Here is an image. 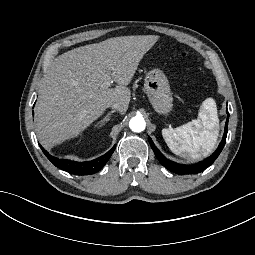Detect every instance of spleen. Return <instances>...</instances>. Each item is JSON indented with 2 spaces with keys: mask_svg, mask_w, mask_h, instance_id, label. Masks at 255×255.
<instances>
[{
  "mask_svg": "<svg viewBox=\"0 0 255 255\" xmlns=\"http://www.w3.org/2000/svg\"><path fill=\"white\" fill-rule=\"evenodd\" d=\"M202 122L193 120L175 129H163L162 136L176 155H185L188 151L193 159L207 157L213 150L218 133L219 119L216 103L212 98H207L201 106Z\"/></svg>",
  "mask_w": 255,
  "mask_h": 255,
  "instance_id": "3e777b00",
  "label": "spleen"
}]
</instances>
